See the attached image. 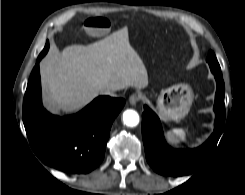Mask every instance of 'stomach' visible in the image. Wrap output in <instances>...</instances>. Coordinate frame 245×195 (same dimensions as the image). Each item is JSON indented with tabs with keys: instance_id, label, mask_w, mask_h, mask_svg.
Masks as SVG:
<instances>
[{
	"instance_id": "1",
	"label": "stomach",
	"mask_w": 245,
	"mask_h": 195,
	"mask_svg": "<svg viewBox=\"0 0 245 195\" xmlns=\"http://www.w3.org/2000/svg\"><path fill=\"white\" fill-rule=\"evenodd\" d=\"M193 98L192 89L188 84H175L158 95V113L164 121H180L188 114Z\"/></svg>"
}]
</instances>
